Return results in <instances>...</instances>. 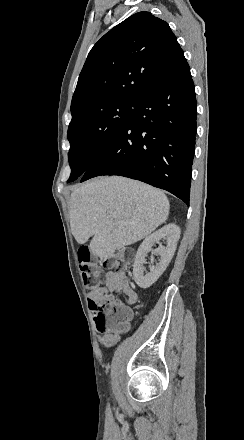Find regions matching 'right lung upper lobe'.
I'll return each mask as SVG.
<instances>
[{"mask_svg":"<svg viewBox=\"0 0 244 440\" xmlns=\"http://www.w3.org/2000/svg\"><path fill=\"white\" fill-rule=\"evenodd\" d=\"M167 22L136 13L91 49L80 73L71 110L112 97L141 98L162 74L185 62Z\"/></svg>","mask_w":244,"mask_h":440,"instance_id":"obj_1","label":"right lung upper lobe"}]
</instances>
